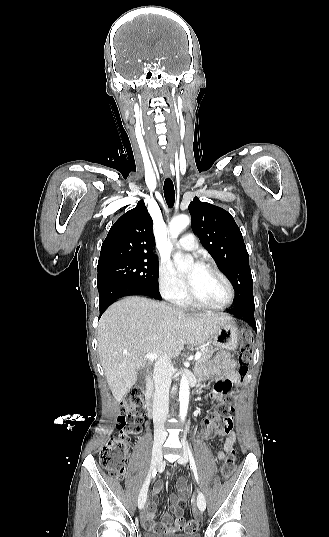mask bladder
I'll return each instance as SVG.
<instances>
[{
	"label": "bladder",
	"mask_w": 329,
	"mask_h": 537,
	"mask_svg": "<svg viewBox=\"0 0 329 537\" xmlns=\"http://www.w3.org/2000/svg\"><path fill=\"white\" fill-rule=\"evenodd\" d=\"M143 537H200V536L197 532L172 535V534H166V533H156L153 531H144Z\"/></svg>",
	"instance_id": "bladder-1"
}]
</instances>
